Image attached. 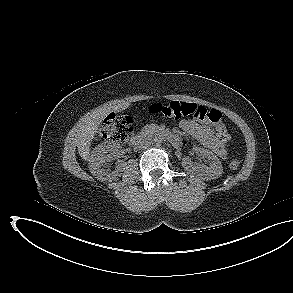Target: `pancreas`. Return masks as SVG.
Returning <instances> with one entry per match:
<instances>
[{
    "instance_id": "pancreas-1",
    "label": "pancreas",
    "mask_w": 293,
    "mask_h": 293,
    "mask_svg": "<svg viewBox=\"0 0 293 293\" xmlns=\"http://www.w3.org/2000/svg\"><path fill=\"white\" fill-rule=\"evenodd\" d=\"M147 129H152L153 131H155L157 129V126L155 125H148Z\"/></svg>"
}]
</instances>
